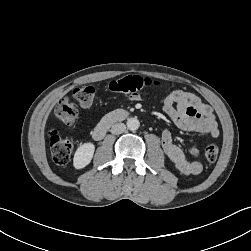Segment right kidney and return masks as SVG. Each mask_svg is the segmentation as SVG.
<instances>
[{
  "instance_id": "1",
  "label": "right kidney",
  "mask_w": 251,
  "mask_h": 251,
  "mask_svg": "<svg viewBox=\"0 0 251 251\" xmlns=\"http://www.w3.org/2000/svg\"><path fill=\"white\" fill-rule=\"evenodd\" d=\"M95 151L93 143H84L76 150L73 159V165L76 169L86 167L92 160Z\"/></svg>"
}]
</instances>
